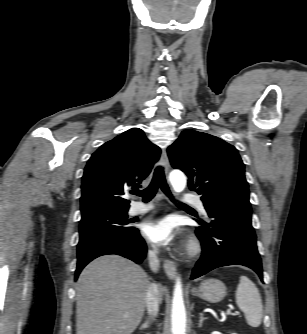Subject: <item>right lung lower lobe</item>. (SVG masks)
<instances>
[{"label":"right lung lower lobe","mask_w":307,"mask_h":334,"mask_svg":"<svg viewBox=\"0 0 307 334\" xmlns=\"http://www.w3.org/2000/svg\"><path fill=\"white\" fill-rule=\"evenodd\" d=\"M147 252L144 239L137 230L133 236L122 242H108L96 245L78 256L75 279L78 278L81 270L93 259L107 254H117L137 264L141 263Z\"/></svg>","instance_id":"98d812e1"}]
</instances>
